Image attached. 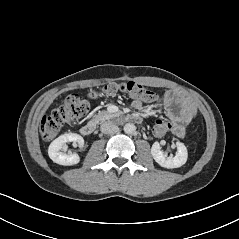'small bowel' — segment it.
I'll return each mask as SVG.
<instances>
[{"mask_svg": "<svg viewBox=\"0 0 239 239\" xmlns=\"http://www.w3.org/2000/svg\"><path fill=\"white\" fill-rule=\"evenodd\" d=\"M161 103L169 118L170 126L168 133H172L177 137H184L186 126L196 115L194 105L187 97L177 91L166 92L161 98ZM132 106L137 111L135 115L140 116L143 107L142 102L134 100Z\"/></svg>", "mask_w": 239, "mask_h": 239, "instance_id": "1", "label": "small bowel"}]
</instances>
